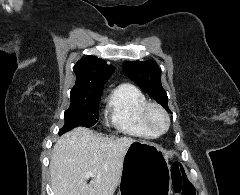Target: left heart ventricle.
<instances>
[{"instance_id":"obj_1","label":"left heart ventricle","mask_w":240,"mask_h":195,"mask_svg":"<svg viewBox=\"0 0 240 195\" xmlns=\"http://www.w3.org/2000/svg\"><path fill=\"white\" fill-rule=\"evenodd\" d=\"M152 120H153V123L155 126H157L159 128H162L164 126V121L160 114L154 113Z\"/></svg>"}]
</instances>
